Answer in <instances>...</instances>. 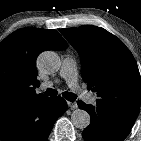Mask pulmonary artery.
<instances>
[{
    "instance_id": "obj_1",
    "label": "pulmonary artery",
    "mask_w": 141,
    "mask_h": 141,
    "mask_svg": "<svg viewBox=\"0 0 141 141\" xmlns=\"http://www.w3.org/2000/svg\"><path fill=\"white\" fill-rule=\"evenodd\" d=\"M60 76L66 81L68 86L74 90L78 91L81 94V97L88 103H94L97 99L95 94L88 93L86 91H82L78 84V73H77V65L74 59L71 57L64 58L60 70ZM53 85V82H45L41 84L42 89L49 88Z\"/></svg>"
}]
</instances>
